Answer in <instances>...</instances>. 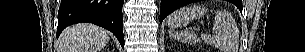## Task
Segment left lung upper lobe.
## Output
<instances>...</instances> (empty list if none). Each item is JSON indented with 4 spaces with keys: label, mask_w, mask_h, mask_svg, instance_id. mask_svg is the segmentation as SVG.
I'll return each instance as SVG.
<instances>
[{
    "label": "left lung upper lobe",
    "mask_w": 305,
    "mask_h": 52,
    "mask_svg": "<svg viewBox=\"0 0 305 52\" xmlns=\"http://www.w3.org/2000/svg\"><path fill=\"white\" fill-rule=\"evenodd\" d=\"M229 2H232L233 4H235L236 6L240 5L241 1L239 0H229Z\"/></svg>",
    "instance_id": "left-lung-upper-lobe-1"
}]
</instances>
